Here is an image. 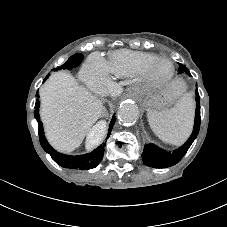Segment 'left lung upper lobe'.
Segmentation results:
<instances>
[{
  "mask_svg": "<svg viewBox=\"0 0 227 227\" xmlns=\"http://www.w3.org/2000/svg\"><path fill=\"white\" fill-rule=\"evenodd\" d=\"M182 68L184 69V71H185L188 75H190L189 71H186L184 66H180L179 72L183 71Z\"/></svg>",
  "mask_w": 227,
  "mask_h": 227,
  "instance_id": "left-lung-upper-lobe-1",
  "label": "left lung upper lobe"
}]
</instances>
